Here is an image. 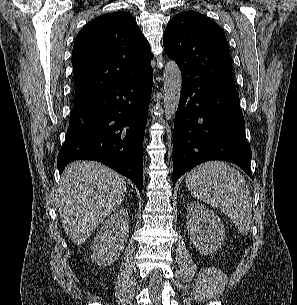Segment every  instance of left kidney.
I'll list each match as a JSON object with an SVG mask.
<instances>
[{"instance_id":"left-kidney-1","label":"left kidney","mask_w":297,"mask_h":305,"mask_svg":"<svg viewBox=\"0 0 297 305\" xmlns=\"http://www.w3.org/2000/svg\"><path fill=\"white\" fill-rule=\"evenodd\" d=\"M187 230L195 248L204 255L215 253L225 239L220 218L209 208L192 201L187 205Z\"/></svg>"}]
</instances>
